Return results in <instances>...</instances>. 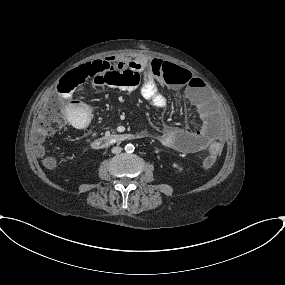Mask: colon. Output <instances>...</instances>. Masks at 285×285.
I'll return each mask as SVG.
<instances>
[{
  "mask_svg": "<svg viewBox=\"0 0 285 285\" xmlns=\"http://www.w3.org/2000/svg\"><path fill=\"white\" fill-rule=\"evenodd\" d=\"M188 71L176 65L165 63L163 76L171 75L186 76ZM87 80H98L105 83L108 87L121 91H135L140 85L141 72L130 68H125L119 63L109 60H95L85 63L76 69L68 72L61 79L60 93L51 94L45 101L43 109L34 121L32 131L33 142L40 145L51 134L59 131L67 121L64 99L75 97L77 88ZM66 84V86H64ZM89 120H83L81 126L89 123ZM221 150L217 145L212 146L211 154L203 162V166L208 168L212 166ZM47 165H52L51 161Z\"/></svg>",
  "mask_w": 285,
  "mask_h": 285,
  "instance_id": "5ec220e1",
  "label": "colon"
}]
</instances>
